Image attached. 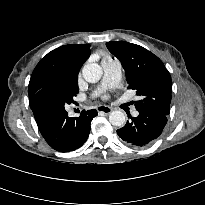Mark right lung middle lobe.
<instances>
[{
	"label": "right lung middle lobe",
	"instance_id": "1",
	"mask_svg": "<svg viewBox=\"0 0 205 205\" xmlns=\"http://www.w3.org/2000/svg\"><path fill=\"white\" fill-rule=\"evenodd\" d=\"M68 91H70L73 95H76L79 92L77 77H70L66 80V84L64 86Z\"/></svg>",
	"mask_w": 205,
	"mask_h": 205
}]
</instances>
